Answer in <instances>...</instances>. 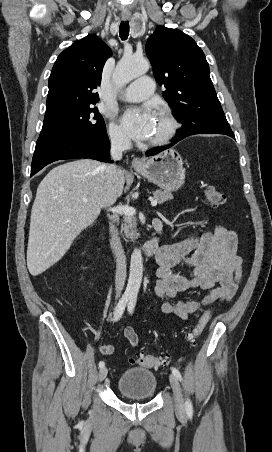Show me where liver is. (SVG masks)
<instances>
[{
    "label": "liver",
    "instance_id": "1",
    "mask_svg": "<svg viewBox=\"0 0 272 452\" xmlns=\"http://www.w3.org/2000/svg\"><path fill=\"white\" fill-rule=\"evenodd\" d=\"M105 164L80 159L53 168L40 182L32 206L27 267L42 274L68 251L75 238L122 195L124 172L108 181ZM86 199V201H84Z\"/></svg>",
    "mask_w": 272,
    "mask_h": 452
}]
</instances>
